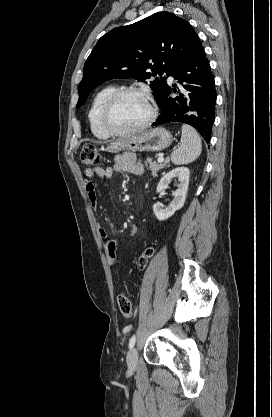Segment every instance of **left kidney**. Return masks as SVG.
Returning a JSON list of instances; mask_svg holds the SVG:
<instances>
[{
    "mask_svg": "<svg viewBox=\"0 0 272 417\" xmlns=\"http://www.w3.org/2000/svg\"><path fill=\"white\" fill-rule=\"evenodd\" d=\"M190 171L187 167H178L166 173L157 185V193L163 191L168 187L171 180L178 178L179 184L177 190L173 192V200L165 209L158 203L153 205V211L156 218L160 221L170 218L177 210H180L186 199V194L189 185Z\"/></svg>",
    "mask_w": 272,
    "mask_h": 417,
    "instance_id": "obj_1",
    "label": "left kidney"
}]
</instances>
